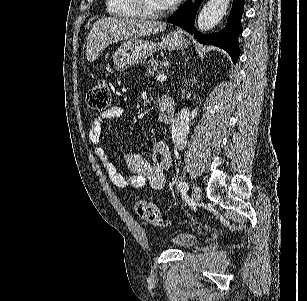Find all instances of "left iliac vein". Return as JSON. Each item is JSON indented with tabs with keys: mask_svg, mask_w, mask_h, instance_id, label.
Wrapping results in <instances>:
<instances>
[{
	"mask_svg": "<svg viewBox=\"0 0 307 301\" xmlns=\"http://www.w3.org/2000/svg\"><path fill=\"white\" fill-rule=\"evenodd\" d=\"M201 198V189L200 187L196 184L194 185L193 187V192H192V195H191V199H192V202H193V205H195L196 203L199 202Z\"/></svg>",
	"mask_w": 307,
	"mask_h": 301,
	"instance_id": "1",
	"label": "left iliac vein"
}]
</instances>
